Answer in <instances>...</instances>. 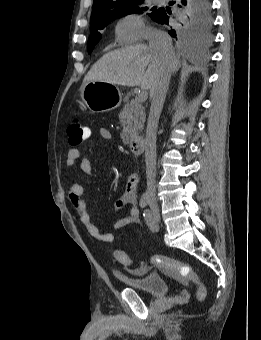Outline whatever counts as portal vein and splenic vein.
Instances as JSON below:
<instances>
[{
  "mask_svg": "<svg viewBox=\"0 0 261 340\" xmlns=\"http://www.w3.org/2000/svg\"><path fill=\"white\" fill-rule=\"evenodd\" d=\"M147 97H148L147 92L144 91L135 97V101L137 103L144 102L147 99Z\"/></svg>",
  "mask_w": 261,
  "mask_h": 340,
  "instance_id": "1",
  "label": "portal vein and splenic vein"
}]
</instances>
